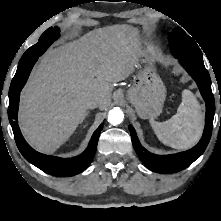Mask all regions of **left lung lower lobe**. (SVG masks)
<instances>
[{
	"label": "left lung lower lobe",
	"mask_w": 221,
	"mask_h": 221,
	"mask_svg": "<svg viewBox=\"0 0 221 221\" xmlns=\"http://www.w3.org/2000/svg\"><path fill=\"white\" fill-rule=\"evenodd\" d=\"M178 59L181 65L196 81L201 95L206 102L205 128L200 142L192 149L171 155H155L141 146L134 128L132 125H129L131 140L141 161L148 169L158 173H175L187 168L205 151L212 133L215 103L211 91V79L209 73L203 64H198L186 59Z\"/></svg>",
	"instance_id": "left-lung-lower-lobe-1"
}]
</instances>
